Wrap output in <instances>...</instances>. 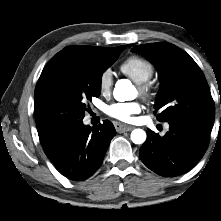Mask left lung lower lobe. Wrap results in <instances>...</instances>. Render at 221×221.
Wrapping results in <instances>:
<instances>
[{
  "mask_svg": "<svg viewBox=\"0 0 221 221\" xmlns=\"http://www.w3.org/2000/svg\"><path fill=\"white\" fill-rule=\"evenodd\" d=\"M170 130L160 137L147 130V140L139 151L146 167L161 176L188 172L203 157L209 143L208 132L185 121L170 122Z\"/></svg>",
  "mask_w": 221,
  "mask_h": 221,
  "instance_id": "1",
  "label": "left lung lower lobe"
}]
</instances>
